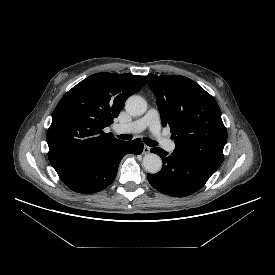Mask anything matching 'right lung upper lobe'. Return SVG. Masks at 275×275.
Here are the masks:
<instances>
[{
	"instance_id": "cb5924a9",
	"label": "right lung upper lobe",
	"mask_w": 275,
	"mask_h": 275,
	"mask_svg": "<svg viewBox=\"0 0 275 275\" xmlns=\"http://www.w3.org/2000/svg\"><path fill=\"white\" fill-rule=\"evenodd\" d=\"M145 76L93 74L69 90L56 106L47 132L48 158L54 169L104 152L123 141L103 129L113 123Z\"/></svg>"
}]
</instances>
